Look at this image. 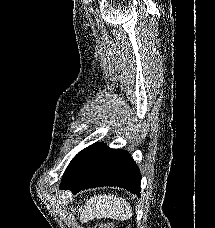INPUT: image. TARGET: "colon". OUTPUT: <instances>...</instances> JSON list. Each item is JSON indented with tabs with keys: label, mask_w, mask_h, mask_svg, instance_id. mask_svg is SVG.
Returning a JSON list of instances; mask_svg holds the SVG:
<instances>
[{
	"label": "colon",
	"mask_w": 215,
	"mask_h": 228,
	"mask_svg": "<svg viewBox=\"0 0 215 228\" xmlns=\"http://www.w3.org/2000/svg\"><path fill=\"white\" fill-rule=\"evenodd\" d=\"M103 228H111V225L102 226ZM88 228H95L94 225H89Z\"/></svg>",
	"instance_id": "obj_1"
}]
</instances>
